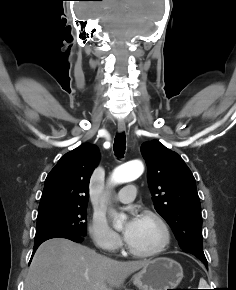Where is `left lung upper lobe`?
<instances>
[{"instance_id":"5c2ea615","label":"left lung upper lobe","mask_w":236,"mask_h":290,"mask_svg":"<svg viewBox=\"0 0 236 290\" xmlns=\"http://www.w3.org/2000/svg\"><path fill=\"white\" fill-rule=\"evenodd\" d=\"M148 185L156 211L171 226L180 248L202 261V217L193 174L183 159L159 141L144 142Z\"/></svg>"}]
</instances>
